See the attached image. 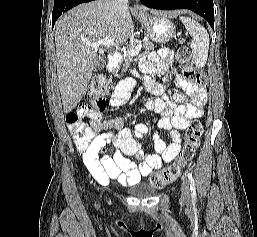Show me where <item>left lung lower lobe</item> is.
<instances>
[{
	"label": "left lung lower lobe",
	"instance_id": "obj_1",
	"mask_svg": "<svg viewBox=\"0 0 257 237\" xmlns=\"http://www.w3.org/2000/svg\"><path fill=\"white\" fill-rule=\"evenodd\" d=\"M141 3L154 9H189L204 17L214 29L213 0H141Z\"/></svg>",
	"mask_w": 257,
	"mask_h": 237
}]
</instances>
